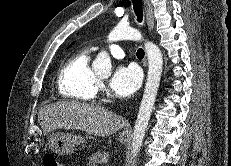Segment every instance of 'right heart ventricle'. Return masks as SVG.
<instances>
[{
	"instance_id": "e07e8e85",
	"label": "right heart ventricle",
	"mask_w": 231,
	"mask_h": 166,
	"mask_svg": "<svg viewBox=\"0 0 231 166\" xmlns=\"http://www.w3.org/2000/svg\"><path fill=\"white\" fill-rule=\"evenodd\" d=\"M93 50L83 49L71 55L58 73L59 94L67 99L90 101L97 94V78L90 67Z\"/></svg>"
}]
</instances>
